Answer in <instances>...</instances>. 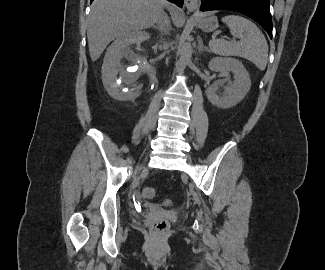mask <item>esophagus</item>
<instances>
[{
    "label": "esophagus",
    "mask_w": 325,
    "mask_h": 270,
    "mask_svg": "<svg viewBox=\"0 0 325 270\" xmlns=\"http://www.w3.org/2000/svg\"><path fill=\"white\" fill-rule=\"evenodd\" d=\"M184 4L190 11L198 8V0H184Z\"/></svg>",
    "instance_id": "1"
}]
</instances>
